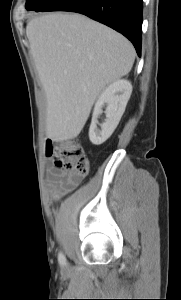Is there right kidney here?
Segmentation results:
<instances>
[{"label":"right kidney","instance_id":"1","mask_svg":"<svg viewBox=\"0 0 181 300\" xmlns=\"http://www.w3.org/2000/svg\"><path fill=\"white\" fill-rule=\"evenodd\" d=\"M132 93L131 82L126 79H117L111 83L99 96L95 107L92 122L89 129V139L94 145L104 143L116 129ZM107 105L104 111L106 120L97 129L98 116L103 113L102 107Z\"/></svg>","mask_w":181,"mask_h":300}]
</instances>
